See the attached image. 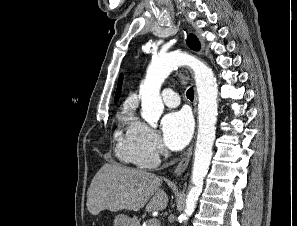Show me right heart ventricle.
I'll use <instances>...</instances> for the list:
<instances>
[{
	"instance_id": "right-heart-ventricle-1",
	"label": "right heart ventricle",
	"mask_w": 297,
	"mask_h": 226,
	"mask_svg": "<svg viewBox=\"0 0 297 226\" xmlns=\"http://www.w3.org/2000/svg\"><path fill=\"white\" fill-rule=\"evenodd\" d=\"M132 120H133V117L131 116V114L129 112H125L121 116V121L125 124L130 125ZM116 138L119 141L120 151H121L122 156L124 158L130 160L128 157V153L126 151V134L123 136L121 131H117Z\"/></svg>"
}]
</instances>
